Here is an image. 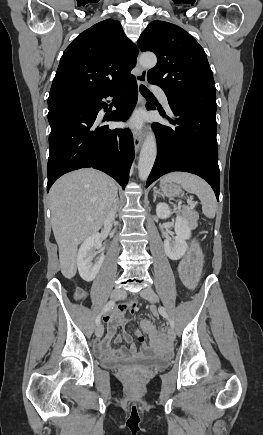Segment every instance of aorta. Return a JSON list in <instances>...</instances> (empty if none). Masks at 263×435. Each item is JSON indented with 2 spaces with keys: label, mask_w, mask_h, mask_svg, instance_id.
<instances>
[{
  "label": "aorta",
  "mask_w": 263,
  "mask_h": 435,
  "mask_svg": "<svg viewBox=\"0 0 263 435\" xmlns=\"http://www.w3.org/2000/svg\"><path fill=\"white\" fill-rule=\"evenodd\" d=\"M139 61L144 68L150 69L156 65L157 58L153 53H144L140 56ZM156 155L157 145L155 136L153 133H149L142 145L139 156L138 170L141 180L145 181L148 178L155 162Z\"/></svg>",
  "instance_id": "obj_1"
}]
</instances>
